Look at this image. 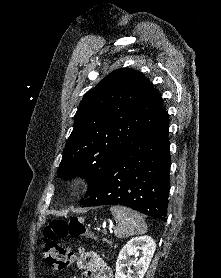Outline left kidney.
I'll list each match as a JSON object with an SVG mask.
<instances>
[{"label": "left kidney", "instance_id": "left-kidney-1", "mask_svg": "<svg viewBox=\"0 0 221 278\" xmlns=\"http://www.w3.org/2000/svg\"><path fill=\"white\" fill-rule=\"evenodd\" d=\"M156 249V243L150 236L134 237L130 239L121 249L116 261L115 278H143L146 273L153 254ZM140 250V259L127 262V258L132 255H138ZM135 266V270L129 267ZM128 267L125 271L124 268Z\"/></svg>", "mask_w": 221, "mask_h": 278}]
</instances>
